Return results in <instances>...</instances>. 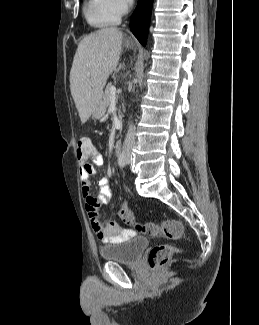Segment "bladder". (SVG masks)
Masks as SVG:
<instances>
[{
  "mask_svg": "<svg viewBox=\"0 0 259 325\" xmlns=\"http://www.w3.org/2000/svg\"><path fill=\"white\" fill-rule=\"evenodd\" d=\"M148 244L146 237L136 236L121 243L103 246L99 252L105 261L133 265L140 260Z\"/></svg>",
  "mask_w": 259,
  "mask_h": 325,
  "instance_id": "bladder-1",
  "label": "bladder"
}]
</instances>
